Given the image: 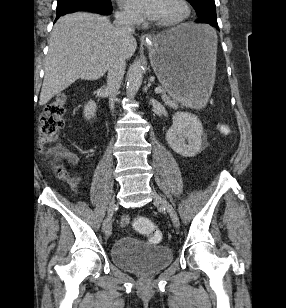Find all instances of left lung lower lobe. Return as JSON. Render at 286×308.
<instances>
[{
  "mask_svg": "<svg viewBox=\"0 0 286 308\" xmlns=\"http://www.w3.org/2000/svg\"><path fill=\"white\" fill-rule=\"evenodd\" d=\"M197 23H206L214 26L219 30L218 24H217V16L216 11H207L201 15H198V18L196 19Z\"/></svg>",
  "mask_w": 286,
  "mask_h": 308,
  "instance_id": "1",
  "label": "left lung lower lobe"
}]
</instances>
